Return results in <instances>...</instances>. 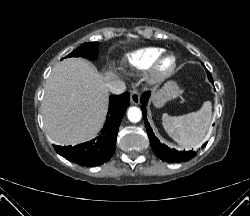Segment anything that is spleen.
<instances>
[{"label": "spleen", "instance_id": "spleen-1", "mask_svg": "<svg viewBox=\"0 0 250 216\" xmlns=\"http://www.w3.org/2000/svg\"><path fill=\"white\" fill-rule=\"evenodd\" d=\"M212 105L210 101L203 103L197 112L181 116L163 114V127L168 135L185 148L199 147L205 140L211 126Z\"/></svg>", "mask_w": 250, "mask_h": 216}]
</instances>
